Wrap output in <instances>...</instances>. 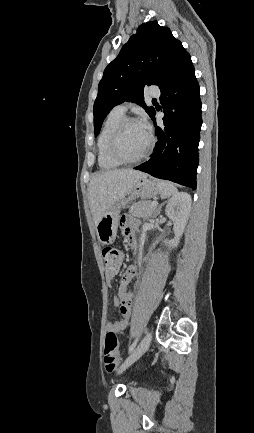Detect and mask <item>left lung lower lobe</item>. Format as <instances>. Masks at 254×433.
Masks as SVG:
<instances>
[{
  "label": "left lung lower lobe",
  "mask_w": 254,
  "mask_h": 433,
  "mask_svg": "<svg viewBox=\"0 0 254 433\" xmlns=\"http://www.w3.org/2000/svg\"><path fill=\"white\" fill-rule=\"evenodd\" d=\"M161 90L164 126L154 119L158 142L152 157L134 169L196 189L201 118L199 84L189 53H184Z\"/></svg>",
  "instance_id": "1"
}]
</instances>
